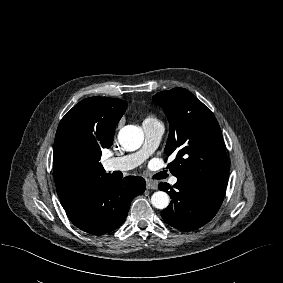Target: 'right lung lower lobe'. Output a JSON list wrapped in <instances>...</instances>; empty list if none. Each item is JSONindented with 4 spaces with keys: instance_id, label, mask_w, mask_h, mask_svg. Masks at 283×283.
I'll return each instance as SVG.
<instances>
[{
    "instance_id": "obj_1",
    "label": "right lung lower lobe",
    "mask_w": 283,
    "mask_h": 283,
    "mask_svg": "<svg viewBox=\"0 0 283 283\" xmlns=\"http://www.w3.org/2000/svg\"><path fill=\"white\" fill-rule=\"evenodd\" d=\"M144 190L143 178L127 176L121 180L107 174L93 180L64 209L70 221L79 229L102 235L125 221L132 199Z\"/></svg>"
}]
</instances>
